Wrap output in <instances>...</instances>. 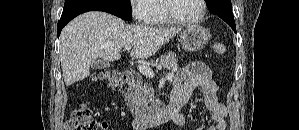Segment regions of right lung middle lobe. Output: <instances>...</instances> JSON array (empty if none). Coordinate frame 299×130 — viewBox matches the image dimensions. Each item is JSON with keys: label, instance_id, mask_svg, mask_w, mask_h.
I'll use <instances>...</instances> for the list:
<instances>
[{"label": "right lung middle lobe", "instance_id": "right-lung-middle-lobe-1", "mask_svg": "<svg viewBox=\"0 0 299 130\" xmlns=\"http://www.w3.org/2000/svg\"><path fill=\"white\" fill-rule=\"evenodd\" d=\"M108 1L115 2V3L119 4V5H122L123 7L131 9V7H130V0H108Z\"/></svg>", "mask_w": 299, "mask_h": 130}]
</instances>
